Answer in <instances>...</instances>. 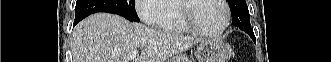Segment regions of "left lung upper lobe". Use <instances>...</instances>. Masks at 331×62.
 I'll list each match as a JSON object with an SVG mask.
<instances>
[{
  "mask_svg": "<svg viewBox=\"0 0 331 62\" xmlns=\"http://www.w3.org/2000/svg\"><path fill=\"white\" fill-rule=\"evenodd\" d=\"M227 2L229 3L232 13V24L254 35L251 29L249 11L245 0H227Z\"/></svg>",
  "mask_w": 331,
  "mask_h": 62,
  "instance_id": "obj_1",
  "label": "left lung upper lobe"
}]
</instances>
